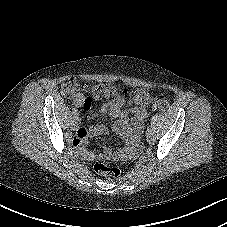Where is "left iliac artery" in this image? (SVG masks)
I'll return each instance as SVG.
<instances>
[{"mask_svg": "<svg viewBox=\"0 0 227 227\" xmlns=\"http://www.w3.org/2000/svg\"><path fill=\"white\" fill-rule=\"evenodd\" d=\"M147 132H148V133H151V132H152V129H151L150 126L147 127Z\"/></svg>", "mask_w": 227, "mask_h": 227, "instance_id": "left-iliac-artery-1", "label": "left iliac artery"}]
</instances>
